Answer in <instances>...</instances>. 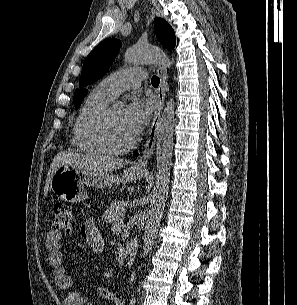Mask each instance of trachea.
I'll return each instance as SVG.
<instances>
[{
	"label": "trachea",
	"instance_id": "3493384b",
	"mask_svg": "<svg viewBox=\"0 0 297 305\" xmlns=\"http://www.w3.org/2000/svg\"><path fill=\"white\" fill-rule=\"evenodd\" d=\"M151 83L154 87H158V85L160 83V78L157 76H153L151 79Z\"/></svg>",
	"mask_w": 297,
	"mask_h": 305
}]
</instances>
